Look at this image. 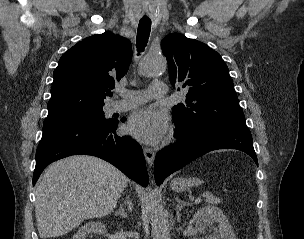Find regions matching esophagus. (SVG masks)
<instances>
[{
    "label": "esophagus",
    "mask_w": 304,
    "mask_h": 239,
    "mask_svg": "<svg viewBox=\"0 0 304 239\" xmlns=\"http://www.w3.org/2000/svg\"><path fill=\"white\" fill-rule=\"evenodd\" d=\"M143 153H144V156H145V159H146L148 165L151 167L154 163V158H155V153H154L153 149L144 147Z\"/></svg>",
    "instance_id": "obj_1"
}]
</instances>
